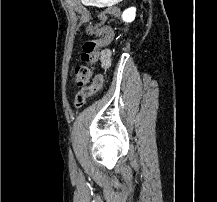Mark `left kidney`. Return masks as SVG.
<instances>
[{"label":"left kidney","instance_id":"obj_1","mask_svg":"<svg viewBox=\"0 0 217 202\" xmlns=\"http://www.w3.org/2000/svg\"><path fill=\"white\" fill-rule=\"evenodd\" d=\"M136 8H128V10H125L122 14V20L123 22H133L136 14Z\"/></svg>","mask_w":217,"mask_h":202}]
</instances>
